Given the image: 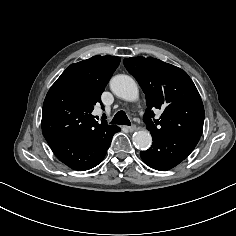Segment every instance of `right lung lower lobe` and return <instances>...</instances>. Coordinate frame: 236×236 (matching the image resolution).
<instances>
[{
	"instance_id": "1",
	"label": "right lung lower lobe",
	"mask_w": 236,
	"mask_h": 236,
	"mask_svg": "<svg viewBox=\"0 0 236 236\" xmlns=\"http://www.w3.org/2000/svg\"><path fill=\"white\" fill-rule=\"evenodd\" d=\"M119 131V127L111 126L92 137L55 139L48 144L61 162L74 170L84 171L103 160L113 135Z\"/></svg>"
}]
</instances>
